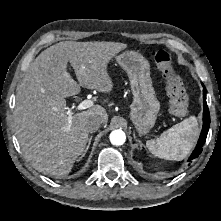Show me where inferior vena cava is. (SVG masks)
<instances>
[{"mask_svg":"<svg viewBox=\"0 0 221 221\" xmlns=\"http://www.w3.org/2000/svg\"><path fill=\"white\" fill-rule=\"evenodd\" d=\"M103 123L101 117L99 116H92L86 122V128L89 132H95Z\"/></svg>","mask_w":221,"mask_h":221,"instance_id":"inferior-vena-cava-1","label":"inferior vena cava"}]
</instances>
